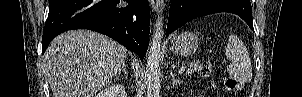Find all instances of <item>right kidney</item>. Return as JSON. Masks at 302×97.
<instances>
[{"label":"right kidney","mask_w":302,"mask_h":97,"mask_svg":"<svg viewBox=\"0 0 302 97\" xmlns=\"http://www.w3.org/2000/svg\"><path fill=\"white\" fill-rule=\"evenodd\" d=\"M111 91H112V93H111ZM111 94L119 95L121 97L127 96L124 87L122 85L118 84V85H114L113 87H111V89L101 91L100 93H98L96 95V97H109V95H111Z\"/></svg>","instance_id":"1"}]
</instances>
